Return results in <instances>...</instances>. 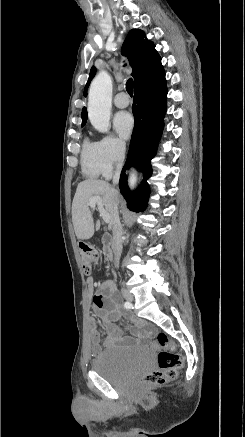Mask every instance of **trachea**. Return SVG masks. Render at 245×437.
Masks as SVG:
<instances>
[{
    "label": "trachea",
    "instance_id": "1",
    "mask_svg": "<svg viewBox=\"0 0 245 437\" xmlns=\"http://www.w3.org/2000/svg\"><path fill=\"white\" fill-rule=\"evenodd\" d=\"M126 90H127L128 94L132 97V95H133V80L131 78L126 82Z\"/></svg>",
    "mask_w": 245,
    "mask_h": 437
}]
</instances>
